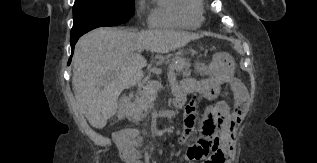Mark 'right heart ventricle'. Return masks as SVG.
Returning a JSON list of instances; mask_svg holds the SVG:
<instances>
[{
    "label": "right heart ventricle",
    "instance_id": "1",
    "mask_svg": "<svg viewBox=\"0 0 317 163\" xmlns=\"http://www.w3.org/2000/svg\"><path fill=\"white\" fill-rule=\"evenodd\" d=\"M154 28L196 29L203 22L202 0H151Z\"/></svg>",
    "mask_w": 317,
    "mask_h": 163
}]
</instances>
